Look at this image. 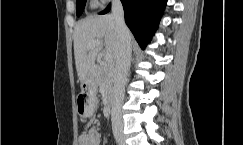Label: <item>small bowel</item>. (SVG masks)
Wrapping results in <instances>:
<instances>
[{
  "mask_svg": "<svg viewBox=\"0 0 243 145\" xmlns=\"http://www.w3.org/2000/svg\"><path fill=\"white\" fill-rule=\"evenodd\" d=\"M100 134L93 128H90L78 138V145H100Z\"/></svg>",
  "mask_w": 243,
  "mask_h": 145,
  "instance_id": "c3829d8e",
  "label": "small bowel"
}]
</instances>
